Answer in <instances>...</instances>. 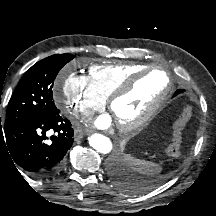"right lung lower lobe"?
Listing matches in <instances>:
<instances>
[{
	"label": "right lung lower lobe",
	"instance_id": "1",
	"mask_svg": "<svg viewBox=\"0 0 216 216\" xmlns=\"http://www.w3.org/2000/svg\"><path fill=\"white\" fill-rule=\"evenodd\" d=\"M73 135L70 121L59 114L37 116L0 126V149L32 176L45 179L63 169Z\"/></svg>",
	"mask_w": 216,
	"mask_h": 216
}]
</instances>
